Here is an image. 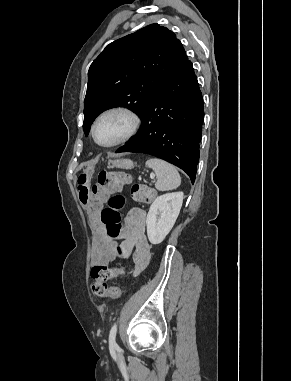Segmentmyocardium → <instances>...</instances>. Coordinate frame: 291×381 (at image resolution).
<instances>
[{
  "label": "myocardium",
  "instance_id": "myocardium-1",
  "mask_svg": "<svg viewBox=\"0 0 291 381\" xmlns=\"http://www.w3.org/2000/svg\"><path fill=\"white\" fill-rule=\"evenodd\" d=\"M112 113H121V114L128 116L131 120V127H130L128 133L125 136H123L122 138H120L119 140H117L113 143H110V144H102L97 140L96 127H97L98 122L103 117H105L106 115L112 114ZM140 126H141V118L135 110H133L132 108L127 107V106H116V107H112V108L105 110L104 112H102L101 114H99L96 117V119L94 120L93 125H92V137H93L95 143L98 144L99 146L104 147V148H112V147H116V146L122 145V144L130 141L138 133Z\"/></svg>",
  "mask_w": 291,
  "mask_h": 381
}]
</instances>
